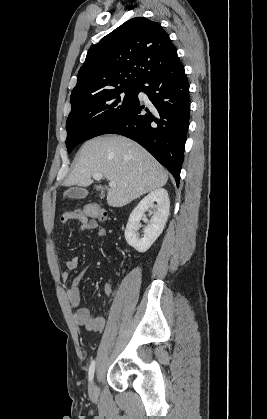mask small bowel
Instances as JSON below:
<instances>
[{
    "label": "small bowel",
    "instance_id": "1",
    "mask_svg": "<svg viewBox=\"0 0 267 419\" xmlns=\"http://www.w3.org/2000/svg\"><path fill=\"white\" fill-rule=\"evenodd\" d=\"M61 222L68 224L70 222H77L80 225V231H96L101 238L107 236V229L99 225L95 220H91L83 216L80 210H72L65 212L61 216ZM79 265V258L73 256L66 261V270H64L60 277L62 281L69 279V272L77 269ZM88 270L84 269L73 279L70 288L66 291L67 299L73 308H77L80 303L79 284L85 277ZM104 293L111 302L115 296V288L112 284L106 283L104 286ZM74 319L78 325L84 326L89 331L100 332L104 329L107 323V318L104 316L92 317L90 311L86 308H77L74 312Z\"/></svg>",
    "mask_w": 267,
    "mask_h": 419
}]
</instances>
